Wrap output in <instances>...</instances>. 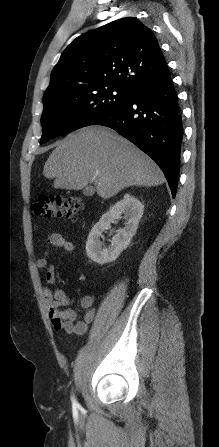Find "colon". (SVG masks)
Wrapping results in <instances>:
<instances>
[{
    "instance_id": "obj_1",
    "label": "colon",
    "mask_w": 219,
    "mask_h": 447,
    "mask_svg": "<svg viewBox=\"0 0 219 447\" xmlns=\"http://www.w3.org/2000/svg\"><path fill=\"white\" fill-rule=\"evenodd\" d=\"M83 209V200L75 197L41 196L32 205L33 213L45 218L72 219Z\"/></svg>"
}]
</instances>
